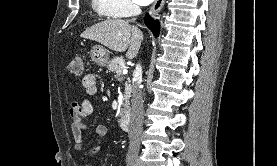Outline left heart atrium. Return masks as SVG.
Segmentation results:
<instances>
[{
  "label": "left heart atrium",
  "instance_id": "obj_1",
  "mask_svg": "<svg viewBox=\"0 0 277 166\" xmlns=\"http://www.w3.org/2000/svg\"><path fill=\"white\" fill-rule=\"evenodd\" d=\"M137 4L139 5H148L151 3L153 0H134Z\"/></svg>",
  "mask_w": 277,
  "mask_h": 166
}]
</instances>
